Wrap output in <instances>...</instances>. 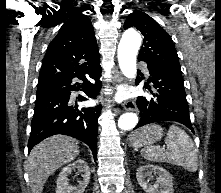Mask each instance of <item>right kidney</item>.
<instances>
[{"mask_svg": "<svg viewBox=\"0 0 221 193\" xmlns=\"http://www.w3.org/2000/svg\"><path fill=\"white\" fill-rule=\"evenodd\" d=\"M73 170H77L82 175V180L78 182L77 186H72L68 182V176ZM89 180L90 169L87 162L83 159H78L61 170L57 179L56 193H84Z\"/></svg>", "mask_w": 221, "mask_h": 193, "instance_id": "1", "label": "right kidney"}]
</instances>
